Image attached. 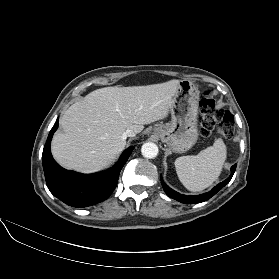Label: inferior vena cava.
<instances>
[{
	"label": "inferior vena cava",
	"mask_w": 279,
	"mask_h": 279,
	"mask_svg": "<svg viewBox=\"0 0 279 279\" xmlns=\"http://www.w3.org/2000/svg\"><path fill=\"white\" fill-rule=\"evenodd\" d=\"M126 137H134L136 135V133L133 130H127L126 131Z\"/></svg>",
	"instance_id": "602c4592"
}]
</instances>
